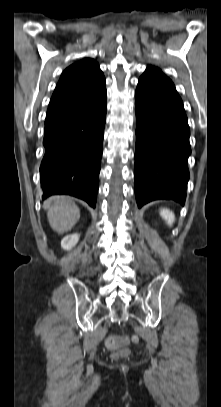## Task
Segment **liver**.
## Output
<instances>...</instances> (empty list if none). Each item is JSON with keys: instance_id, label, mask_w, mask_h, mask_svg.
<instances>
[{"instance_id": "1", "label": "liver", "mask_w": 221, "mask_h": 407, "mask_svg": "<svg viewBox=\"0 0 221 407\" xmlns=\"http://www.w3.org/2000/svg\"><path fill=\"white\" fill-rule=\"evenodd\" d=\"M51 228L58 234L71 230L80 218V210L70 197L52 196L44 203Z\"/></svg>"}]
</instances>
